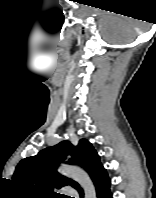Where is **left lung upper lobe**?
<instances>
[{"mask_svg":"<svg viewBox=\"0 0 156 198\" xmlns=\"http://www.w3.org/2000/svg\"><path fill=\"white\" fill-rule=\"evenodd\" d=\"M68 155L72 156L69 159L70 164L84 168L93 182L105 171L92 144L86 139H81L76 147L69 141H62L43 149L35 156L21 160L16 167L13 180L28 195L36 198L58 197L54 190L67 185L81 191L78 183L57 172V167Z\"/></svg>","mask_w":156,"mask_h":198,"instance_id":"1","label":"left lung upper lobe"}]
</instances>
